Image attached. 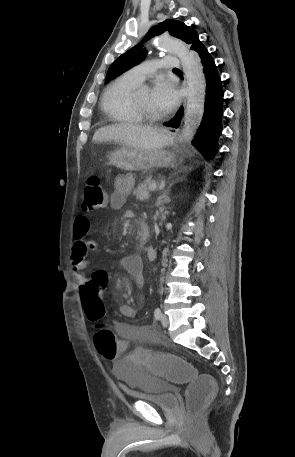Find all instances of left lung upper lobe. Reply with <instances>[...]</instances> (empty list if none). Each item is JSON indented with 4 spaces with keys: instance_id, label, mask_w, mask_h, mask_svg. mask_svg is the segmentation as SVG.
<instances>
[{
    "instance_id": "5c2ea615",
    "label": "left lung upper lobe",
    "mask_w": 295,
    "mask_h": 457,
    "mask_svg": "<svg viewBox=\"0 0 295 457\" xmlns=\"http://www.w3.org/2000/svg\"><path fill=\"white\" fill-rule=\"evenodd\" d=\"M166 30L169 31L170 35L183 40L190 46L198 39V34L194 29L185 25L181 21L170 19L160 23L159 25L153 26L148 31L144 40L152 38L156 35H160ZM146 55V49H142L141 44L136 45L135 47L122 54L109 67L106 78L108 80H112L115 77L121 75L123 72L143 61L146 58Z\"/></svg>"
}]
</instances>
